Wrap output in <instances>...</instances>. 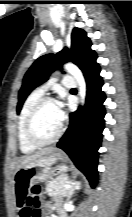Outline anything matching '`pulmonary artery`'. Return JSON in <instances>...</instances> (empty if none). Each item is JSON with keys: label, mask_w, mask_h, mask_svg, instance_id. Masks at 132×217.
Masks as SVG:
<instances>
[{"label": "pulmonary artery", "mask_w": 132, "mask_h": 217, "mask_svg": "<svg viewBox=\"0 0 132 217\" xmlns=\"http://www.w3.org/2000/svg\"><path fill=\"white\" fill-rule=\"evenodd\" d=\"M55 79H51L49 80L48 82L44 83L43 85H41L38 90H40L41 92L45 93L49 87H51L52 85L55 84ZM62 84L65 86V87H68V88H72L74 87L75 83H74V80L70 77H66L62 80Z\"/></svg>", "instance_id": "e3ab8cb5"}]
</instances>
